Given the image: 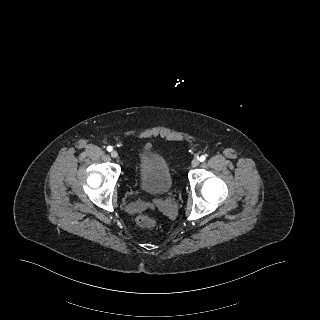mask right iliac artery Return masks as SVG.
I'll use <instances>...</instances> for the list:
<instances>
[{
  "label": "right iliac artery",
  "instance_id": "right-iliac-artery-1",
  "mask_svg": "<svg viewBox=\"0 0 320 320\" xmlns=\"http://www.w3.org/2000/svg\"><path fill=\"white\" fill-rule=\"evenodd\" d=\"M112 149H113L112 146L107 147V151H109V152L112 151Z\"/></svg>",
  "mask_w": 320,
  "mask_h": 320
}]
</instances>
